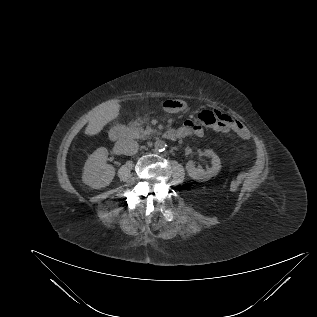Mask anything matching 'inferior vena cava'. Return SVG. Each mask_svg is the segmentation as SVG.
<instances>
[{
	"label": "inferior vena cava",
	"mask_w": 317,
	"mask_h": 317,
	"mask_svg": "<svg viewBox=\"0 0 317 317\" xmlns=\"http://www.w3.org/2000/svg\"><path fill=\"white\" fill-rule=\"evenodd\" d=\"M116 148L124 155H133L138 152V143L130 138L120 139L116 142Z\"/></svg>",
	"instance_id": "obj_1"
}]
</instances>
